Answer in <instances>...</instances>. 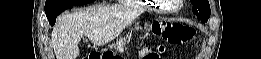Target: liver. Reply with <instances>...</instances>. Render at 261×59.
Instances as JSON below:
<instances>
[{
	"label": "liver",
	"mask_w": 261,
	"mask_h": 59,
	"mask_svg": "<svg viewBox=\"0 0 261 59\" xmlns=\"http://www.w3.org/2000/svg\"><path fill=\"white\" fill-rule=\"evenodd\" d=\"M135 15L114 7L99 5L65 13L58 18L51 37L56 59H76L78 44L83 36L98 46L115 39Z\"/></svg>",
	"instance_id": "liver-1"
}]
</instances>
